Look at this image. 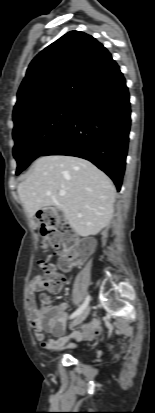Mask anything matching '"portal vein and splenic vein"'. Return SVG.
<instances>
[{
  "label": "portal vein and splenic vein",
  "mask_w": 155,
  "mask_h": 413,
  "mask_svg": "<svg viewBox=\"0 0 155 413\" xmlns=\"http://www.w3.org/2000/svg\"><path fill=\"white\" fill-rule=\"evenodd\" d=\"M59 194H60L61 196H64V195L66 194V192H65L64 190H61V191L59 192Z\"/></svg>",
  "instance_id": "portal-vein-and-splenic-vein-1"
}]
</instances>
